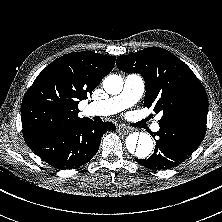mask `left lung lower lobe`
<instances>
[{
	"mask_svg": "<svg viewBox=\"0 0 222 222\" xmlns=\"http://www.w3.org/2000/svg\"><path fill=\"white\" fill-rule=\"evenodd\" d=\"M159 126V131L154 133L159 139L155 140L152 156L145 160L135 158L139 164L154 170H167L181 164L200 145L206 133V125L191 121H170Z\"/></svg>",
	"mask_w": 222,
	"mask_h": 222,
	"instance_id": "left-lung-lower-lobe-1",
	"label": "left lung lower lobe"
}]
</instances>
